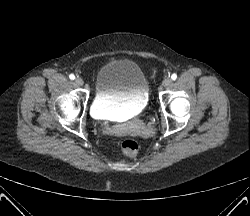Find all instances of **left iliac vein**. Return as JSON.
Returning a JSON list of instances; mask_svg holds the SVG:
<instances>
[{
	"mask_svg": "<svg viewBox=\"0 0 250 216\" xmlns=\"http://www.w3.org/2000/svg\"><path fill=\"white\" fill-rule=\"evenodd\" d=\"M162 84L164 87H169L172 84V80L170 78H165Z\"/></svg>",
	"mask_w": 250,
	"mask_h": 216,
	"instance_id": "left-iliac-vein-1",
	"label": "left iliac vein"
}]
</instances>
